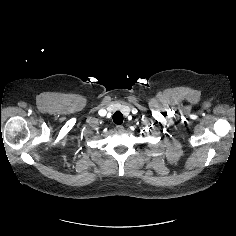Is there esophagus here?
Wrapping results in <instances>:
<instances>
[{"label": "esophagus", "mask_w": 236, "mask_h": 236, "mask_svg": "<svg viewBox=\"0 0 236 236\" xmlns=\"http://www.w3.org/2000/svg\"><path fill=\"white\" fill-rule=\"evenodd\" d=\"M116 130H117L118 132H123V131H124V127H123L122 125H117V126H116Z\"/></svg>", "instance_id": "esophagus-1"}]
</instances>
